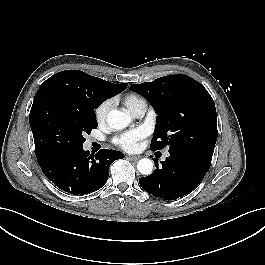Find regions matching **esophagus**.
I'll use <instances>...</instances> for the list:
<instances>
[{"instance_id": "34e87169", "label": "esophagus", "mask_w": 265, "mask_h": 265, "mask_svg": "<svg viewBox=\"0 0 265 265\" xmlns=\"http://www.w3.org/2000/svg\"><path fill=\"white\" fill-rule=\"evenodd\" d=\"M127 158L130 160L136 161V160L140 159V156L129 155Z\"/></svg>"}]
</instances>
